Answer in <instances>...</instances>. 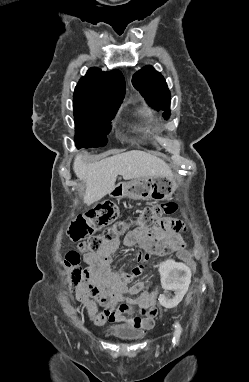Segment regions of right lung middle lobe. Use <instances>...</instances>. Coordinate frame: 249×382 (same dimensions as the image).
Instances as JSON below:
<instances>
[{
    "mask_svg": "<svg viewBox=\"0 0 249 382\" xmlns=\"http://www.w3.org/2000/svg\"><path fill=\"white\" fill-rule=\"evenodd\" d=\"M117 109L102 105H89L74 109L76 147H100L106 145V135Z\"/></svg>",
    "mask_w": 249,
    "mask_h": 382,
    "instance_id": "obj_1",
    "label": "right lung middle lobe"
}]
</instances>
